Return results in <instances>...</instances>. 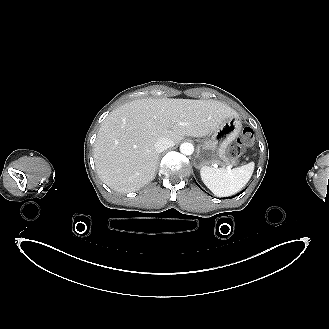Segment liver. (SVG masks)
Instances as JSON below:
<instances>
[{
  "label": "liver",
  "instance_id": "1",
  "mask_svg": "<svg viewBox=\"0 0 329 329\" xmlns=\"http://www.w3.org/2000/svg\"><path fill=\"white\" fill-rule=\"evenodd\" d=\"M230 116H238L217 100L138 99L113 110L102 122L94 145L100 179L111 189L139 190L155 174V143L167 137L178 143L184 136L203 137Z\"/></svg>",
  "mask_w": 329,
  "mask_h": 329
}]
</instances>
